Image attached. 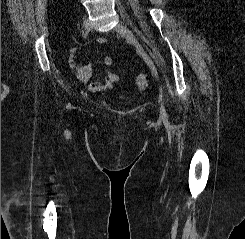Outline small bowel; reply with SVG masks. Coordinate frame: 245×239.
<instances>
[{
	"instance_id": "small-bowel-1",
	"label": "small bowel",
	"mask_w": 245,
	"mask_h": 239,
	"mask_svg": "<svg viewBox=\"0 0 245 239\" xmlns=\"http://www.w3.org/2000/svg\"><path fill=\"white\" fill-rule=\"evenodd\" d=\"M97 42L99 44L105 45L107 40L103 37L98 38ZM78 50L76 48L72 49L69 57V65L73 70V73L76 79L82 84L87 85V88L91 92H102L110 90L115 83L119 81V75L112 72L106 71L101 80L91 82L93 68L90 64L82 65L78 63ZM105 66H112L113 59L109 56H106L103 59Z\"/></svg>"
}]
</instances>
